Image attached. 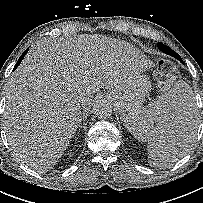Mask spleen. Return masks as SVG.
<instances>
[{
  "mask_svg": "<svg viewBox=\"0 0 203 203\" xmlns=\"http://www.w3.org/2000/svg\"><path fill=\"white\" fill-rule=\"evenodd\" d=\"M171 114L189 128L183 141L159 140L158 127L162 119ZM196 108L193 91L187 83L179 81L147 107L135 111L129 118L127 128L140 141H148V159L153 166H170L183 157L191 148L196 131Z\"/></svg>",
  "mask_w": 203,
  "mask_h": 203,
  "instance_id": "obj_1",
  "label": "spleen"
}]
</instances>
